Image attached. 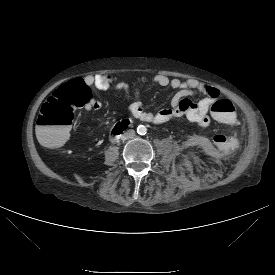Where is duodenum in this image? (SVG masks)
Here are the masks:
<instances>
[{"label":"duodenum","mask_w":275,"mask_h":275,"mask_svg":"<svg viewBox=\"0 0 275 275\" xmlns=\"http://www.w3.org/2000/svg\"><path fill=\"white\" fill-rule=\"evenodd\" d=\"M131 123L130 119H124L118 122L111 130L110 139L116 141L119 136L130 127Z\"/></svg>","instance_id":"410a0bca"}]
</instances>
